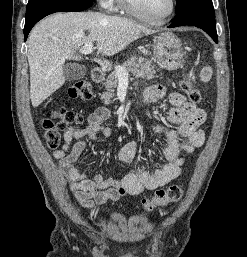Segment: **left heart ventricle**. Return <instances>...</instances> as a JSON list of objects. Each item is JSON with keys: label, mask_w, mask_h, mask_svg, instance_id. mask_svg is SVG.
<instances>
[{"label": "left heart ventricle", "mask_w": 247, "mask_h": 257, "mask_svg": "<svg viewBox=\"0 0 247 257\" xmlns=\"http://www.w3.org/2000/svg\"><path fill=\"white\" fill-rule=\"evenodd\" d=\"M136 7L146 16L159 19L170 8V0H133Z\"/></svg>", "instance_id": "1"}]
</instances>
